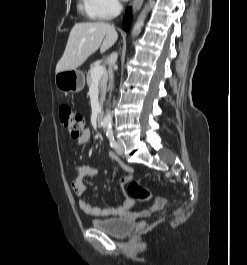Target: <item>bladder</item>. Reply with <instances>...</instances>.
<instances>
[{
  "label": "bladder",
  "instance_id": "obj_1",
  "mask_svg": "<svg viewBox=\"0 0 247 265\" xmlns=\"http://www.w3.org/2000/svg\"><path fill=\"white\" fill-rule=\"evenodd\" d=\"M93 228L116 238H125L131 234L136 225L124 218L93 219L90 221Z\"/></svg>",
  "mask_w": 247,
  "mask_h": 265
}]
</instances>
